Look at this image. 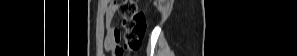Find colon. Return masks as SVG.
I'll return each instance as SVG.
<instances>
[{
	"label": "colon",
	"mask_w": 297,
	"mask_h": 56,
	"mask_svg": "<svg viewBox=\"0 0 297 56\" xmlns=\"http://www.w3.org/2000/svg\"><path fill=\"white\" fill-rule=\"evenodd\" d=\"M122 18V27L125 30V48L136 51L141 47L146 32V18L136 0H122L117 4ZM123 50L115 52V56H122Z\"/></svg>",
	"instance_id": "5ec220e1"
}]
</instances>
